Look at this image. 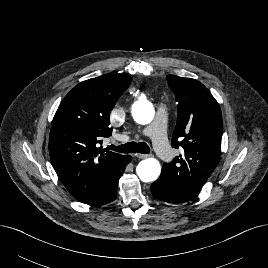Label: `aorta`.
Here are the masks:
<instances>
[{"label":"aorta","instance_id":"762f6f07","mask_svg":"<svg viewBox=\"0 0 268 268\" xmlns=\"http://www.w3.org/2000/svg\"><path fill=\"white\" fill-rule=\"evenodd\" d=\"M132 117L138 123L142 125L149 124L155 115V110L149 101H138L132 106ZM136 173L141 181L153 182L157 180L161 173V165L158 160L154 158H148L142 160L136 168Z\"/></svg>","mask_w":268,"mask_h":268}]
</instances>
